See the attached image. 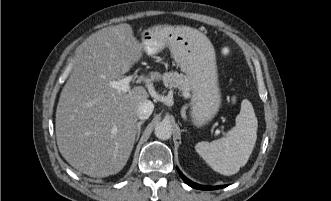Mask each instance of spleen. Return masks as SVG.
Returning a JSON list of instances; mask_svg holds the SVG:
<instances>
[{
	"instance_id": "obj_1",
	"label": "spleen",
	"mask_w": 331,
	"mask_h": 201,
	"mask_svg": "<svg viewBox=\"0 0 331 201\" xmlns=\"http://www.w3.org/2000/svg\"><path fill=\"white\" fill-rule=\"evenodd\" d=\"M257 127L253 106L245 99L236 117V125L227 136L212 142H199L195 150L214 171L233 175L247 163L256 143Z\"/></svg>"
}]
</instances>
